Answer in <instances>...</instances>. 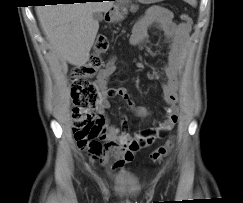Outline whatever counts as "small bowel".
<instances>
[{
	"instance_id": "1",
	"label": "small bowel",
	"mask_w": 243,
	"mask_h": 203,
	"mask_svg": "<svg viewBox=\"0 0 243 203\" xmlns=\"http://www.w3.org/2000/svg\"><path fill=\"white\" fill-rule=\"evenodd\" d=\"M157 25L168 40L167 61L163 68L164 82L162 96L167 104L166 116L155 127L143 130L132 136L128 132V119L122 116L120 125L109 124L106 111L110 108L109 98L120 97L138 117L145 118L149 111L144 106H137L127 88L108 87V80L116 71V57L111 56L107 66L102 69L96 78V87L99 92L97 105L98 115L90 135L87 146L79 148L90 153L93 159L100 162L113 160L114 168H121L132 162L138 151L150 146L156 139L165 137L178 121L177 88L178 73L187 49L190 26L186 23H177L172 13L161 6H153L135 23L130 38L133 46L145 43L148 29ZM149 79L156 78V74L149 73Z\"/></svg>"
}]
</instances>
